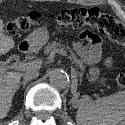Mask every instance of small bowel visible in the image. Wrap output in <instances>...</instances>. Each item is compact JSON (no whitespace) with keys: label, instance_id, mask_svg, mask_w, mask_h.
<instances>
[{"label":"small bowel","instance_id":"1","mask_svg":"<svg viewBox=\"0 0 125 125\" xmlns=\"http://www.w3.org/2000/svg\"><path fill=\"white\" fill-rule=\"evenodd\" d=\"M74 49L82 57H98L101 53V40L99 37H94L89 40V45L83 42H76L74 43ZM107 63L111 66L112 60L108 59Z\"/></svg>","mask_w":125,"mask_h":125}]
</instances>
